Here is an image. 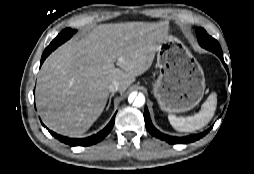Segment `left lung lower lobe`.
<instances>
[{
    "mask_svg": "<svg viewBox=\"0 0 254 174\" xmlns=\"http://www.w3.org/2000/svg\"><path fill=\"white\" fill-rule=\"evenodd\" d=\"M217 56H219V58L221 59L222 63L224 64V66L226 67V69L228 70L224 59H223V54L222 53H216ZM144 119H145V126L146 129L148 130V132L150 134H152L153 136L165 140L170 144H185V143H190V142H194L200 138H202L203 136H205L211 128H209L208 130H206L205 132H202L200 134H196V135H191V136H185V137H174V136H169L166 134L161 133L160 131H158L152 124L151 119H150V115H149V111L147 109V107H145L144 110Z\"/></svg>",
    "mask_w": 254,
    "mask_h": 174,
    "instance_id": "left-lung-lower-lobe-1",
    "label": "left lung lower lobe"
}]
</instances>
